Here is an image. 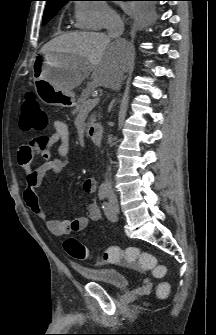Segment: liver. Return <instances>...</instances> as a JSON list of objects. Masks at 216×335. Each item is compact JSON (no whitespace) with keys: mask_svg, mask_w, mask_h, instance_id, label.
<instances>
[{"mask_svg":"<svg viewBox=\"0 0 216 335\" xmlns=\"http://www.w3.org/2000/svg\"><path fill=\"white\" fill-rule=\"evenodd\" d=\"M41 53L71 57L70 67L57 80V85L65 92L78 87L90 73L89 87L119 89L132 59L133 46L125 40L112 41L103 33L71 32L46 43Z\"/></svg>","mask_w":216,"mask_h":335,"instance_id":"1","label":"liver"}]
</instances>
